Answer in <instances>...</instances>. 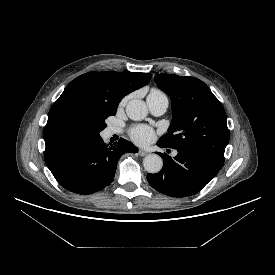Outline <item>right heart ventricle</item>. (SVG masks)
Returning <instances> with one entry per match:
<instances>
[{"mask_svg": "<svg viewBox=\"0 0 275 275\" xmlns=\"http://www.w3.org/2000/svg\"><path fill=\"white\" fill-rule=\"evenodd\" d=\"M149 95H164V94L160 90H158V89H152L150 91Z\"/></svg>", "mask_w": 275, "mask_h": 275, "instance_id": "1", "label": "right heart ventricle"}]
</instances>
